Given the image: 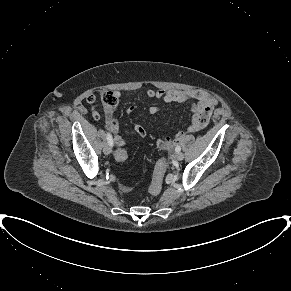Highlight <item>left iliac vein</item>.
Here are the masks:
<instances>
[{
  "instance_id": "obj_1",
  "label": "left iliac vein",
  "mask_w": 291,
  "mask_h": 291,
  "mask_svg": "<svg viewBox=\"0 0 291 291\" xmlns=\"http://www.w3.org/2000/svg\"><path fill=\"white\" fill-rule=\"evenodd\" d=\"M175 157L178 161H182L184 159V154L182 152H178Z\"/></svg>"
}]
</instances>
